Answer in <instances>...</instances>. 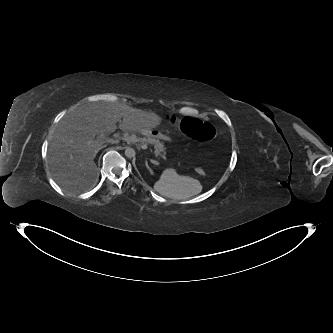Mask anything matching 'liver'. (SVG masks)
I'll return each mask as SVG.
<instances>
[{
  "instance_id": "liver-1",
  "label": "liver",
  "mask_w": 333,
  "mask_h": 333,
  "mask_svg": "<svg viewBox=\"0 0 333 333\" xmlns=\"http://www.w3.org/2000/svg\"><path fill=\"white\" fill-rule=\"evenodd\" d=\"M161 121L154 112L124 103L101 101L80 106L59 122L49 144L48 164L54 180L71 191L91 188L99 176L94 158L103 148L96 135L115 132L117 122L124 132H149Z\"/></svg>"
}]
</instances>
